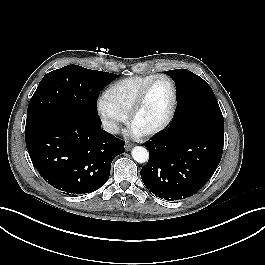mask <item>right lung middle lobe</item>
<instances>
[{
    "instance_id": "dd1d6c3e",
    "label": "right lung middle lobe",
    "mask_w": 265,
    "mask_h": 265,
    "mask_svg": "<svg viewBox=\"0 0 265 265\" xmlns=\"http://www.w3.org/2000/svg\"><path fill=\"white\" fill-rule=\"evenodd\" d=\"M115 74L67 65L46 74L32 96L25 131L53 120L66 111L98 115L96 102L100 90Z\"/></svg>"
}]
</instances>
